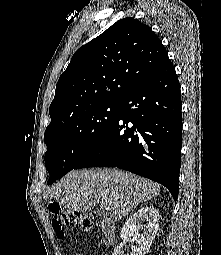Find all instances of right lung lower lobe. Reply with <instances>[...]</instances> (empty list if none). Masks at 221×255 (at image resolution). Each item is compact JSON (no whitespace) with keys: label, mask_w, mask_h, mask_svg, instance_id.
<instances>
[{"label":"right lung lower lobe","mask_w":221,"mask_h":255,"mask_svg":"<svg viewBox=\"0 0 221 255\" xmlns=\"http://www.w3.org/2000/svg\"><path fill=\"white\" fill-rule=\"evenodd\" d=\"M114 123L74 169L118 167L178 196L182 116L180 84L166 59L120 102Z\"/></svg>","instance_id":"1"}]
</instances>
